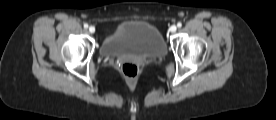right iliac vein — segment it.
I'll list each match as a JSON object with an SVG mask.
<instances>
[{"instance_id": "63e3f726", "label": "right iliac vein", "mask_w": 276, "mask_h": 120, "mask_svg": "<svg viewBox=\"0 0 276 120\" xmlns=\"http://www.w3.org/2000/svg\"><path fill=\"white\" fill-rule=\"evenodd\" d=\"M89 32L90 33H94L95 32V27L94 26H90L89 27Z\"/></svg>"}]
</instances>
